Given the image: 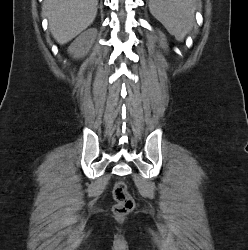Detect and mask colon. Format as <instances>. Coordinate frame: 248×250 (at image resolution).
Masks as SVG:
<instances>
[{
	"label": "colon",
	"mask_w": 248,
	"mask_h": 250,
	"mask_svg": "<svg viewBox=\"0 0 248 250\" xmlns=\"http://www.w3.org/2000/svg\"><path fill=\"white\" fill-rule=\"evenodd\" d=\"M113 198L115 204L112 212L116 217L122 218L132 212L135 206L133 197L128 191L127 185L123 181H118L113 187Z\"/></svg>",
	"instance_id": "5ec220e1"
}]
</instances>
